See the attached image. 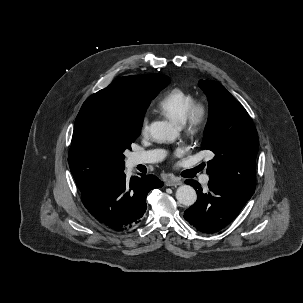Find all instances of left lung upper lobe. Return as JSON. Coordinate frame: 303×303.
<instances>
[{"label":"left lung upper lobe","mask_w":303,"mask_h":303,"mask_svg":"<svg viewBox=\"0 0 303 303\" xmlns=\"http://www.w3.org/2000/svg\"><path fill=\"white\" fill-rule=\"evenodd\" d=\"M199 87L209 101V118L201 149L215 154L208 162L207 173L252 196L259 149L256 128L244 107L222 84L200 80Z\"/></svg>","instance_id":"left-lung-upper-lobe-1"}]
</instances>
